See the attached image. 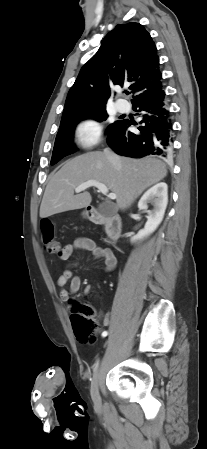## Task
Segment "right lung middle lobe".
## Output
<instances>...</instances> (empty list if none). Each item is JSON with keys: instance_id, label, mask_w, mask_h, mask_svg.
I'll return each instance as SVG.
<instances>
[{"instance_id": "dd1d6c3e", "label": "right lung middle lobe", "mask_w": 207, "mask_h": 449, "mask_svg": "<svg viewBox=\"0 0 207 449\" xmlns=\"http://www.w3.org/2000/svg\"><path fill=\"white\" fill-rule=\"evenodd\" d=\"M108 117L106 109L96 110L89 113H84L80 115L70 116L61 120L60 127L56 136L54 149L52 153L51 165L56 164L63 157L70 155L75 151V146L73 144V133L76 124L85 118H93L98 121H104ZM121 121H115L110 124L107 128V134H111L113 130L117 128Z\"/></svg>"}]
</instances>
